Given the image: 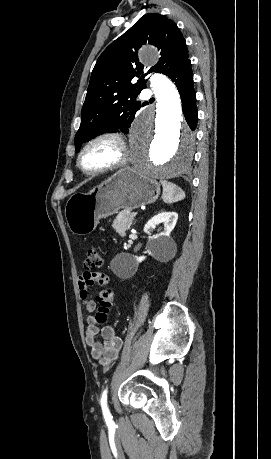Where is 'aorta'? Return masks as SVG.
Returning <instances> with one entry per match:
<instances>
[{
    "label": "aorta",
    "instance_id": "762f6f07",
    "mask_svg": "<svg viewBox=\"0 0 271 459\" xmlns=\"http://www.w3.org/2000/svg\"><path fill=\"white\" fill-rule=\"evenodd\" d=\"M140 58L149 64L159 58L158 50L146 45ZM150 86L156 107L137 118L131 138V164L134 171L148 179H168L187 170L195 150V135L181 115L180 95L169 78L154 74Z\"/></svg>",
    "mask_w": 271,
    "mask_h": 459
}]
</instances>
